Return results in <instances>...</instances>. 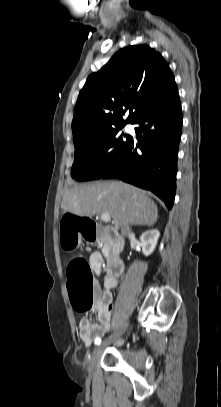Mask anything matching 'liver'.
I'll return each instance as SVG.
<instances>
[{"label": "liver", "mask_w": 221, "mask_h": 407, "mask_svg": "<svg viewBox=\"0 0 221 407\" xmlns=\"http://www.w3.org/2000/svg\"><path fill=\"white\" fill-rule=\"evenodd\" d=\"M64 213L92 217L109 213L115 228L124 224L152 226L158 208L145 191L123 182H102L75 186L64 193Z\"/></svg>", "instance_id": "liver-1"}]
</instances>
